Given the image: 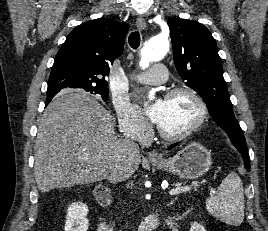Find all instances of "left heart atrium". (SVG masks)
Here are the masks:
<instances>
[{
    "label": "left heart atrium",
    "mask_w": 268,
    "mask_h": 231,
    "mask_svg": "<svg viewBox=\"0 0 268 231\" xmlns=\"http://www.w3.org/2000/svg\"><path fill=\"white\" fill-rule=\"evenodd\" d=\"M162 105L163 100H157L148 108L147 116L151 121L157 123L160 116Z\"/></svg>",
    "instance_id": "39dd6f15"
}]
</instances>
